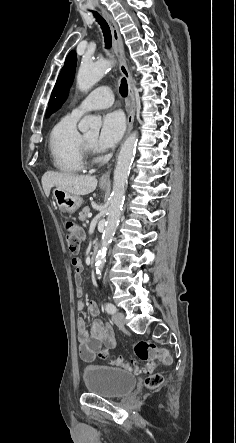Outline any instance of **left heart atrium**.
<instances>
[{"label": "left heart atrium", "instance_id": "1", "mask_svg": "<svg viewBox=\"0 0 236 443\" xmlns=\"http://www.w3.org/2000/svg\"><path fill=\"white\" fill-rule=\"evenodd\" d=\"M125 130L124 116L119 111L106 113L102 118L101 129L95 146L98 150L113 147L122 137Z\"/></svg>", "mask_w": 236, "mask_h": 443}]
</instances>
